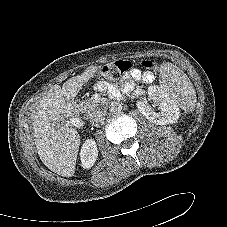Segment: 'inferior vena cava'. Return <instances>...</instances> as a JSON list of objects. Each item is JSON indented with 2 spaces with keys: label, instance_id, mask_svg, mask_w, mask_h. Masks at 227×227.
I'll return each instance as SVG.
<instances>
[{
  "label": "inferior vena cava",
  "instance_id": "602c4592",
  "mask_svg": "<svg viewBox=\"0 0 227 227\" xmlns=\"http://www.w3.org/2000/svg\"><path fill=\"white\" fill-rule=\"evenodd\" d=\"M89 120L93 126H99L104 123L105 113L100 110L94 111L90 114Z\"/></svg>",
  "mask_w": 227,
  "mask_h": 227
}]
</instances>
